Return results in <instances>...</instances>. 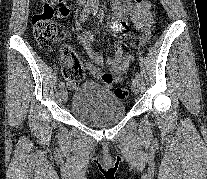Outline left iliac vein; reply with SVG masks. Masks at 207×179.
Listing matches in <instances>:
<instances>
[{"instance_id":"4c4485c4","label":"left iliac vein","mask_w":207,"mask_h":179,"mask_svg":"<svg viewBox=\"0 0 207 179\" xmlns=\"http://www.w3.org/2000/svg\"><path fill=\"white\" fill-rule=\"evenodd\" d=\"M132 90L135 94H138L139 93V90H140V81L138 79H134L132 81Z\"/></svg>"}]
</instances>
